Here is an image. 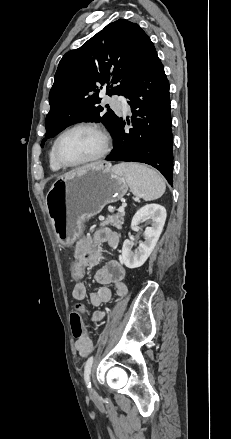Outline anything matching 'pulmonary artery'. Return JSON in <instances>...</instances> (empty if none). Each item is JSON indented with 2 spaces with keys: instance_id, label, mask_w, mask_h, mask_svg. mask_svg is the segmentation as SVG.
<instances>
[{
  "instance_id": "pulmonary-artery-1",
  "label": "pulmonary artery",
  "mask_w": 231,
  "mask_h": 439,
  "mask_svg": "<svg viewBox=\"0 0 231 439\" xmlns=\"http://www.w3.org/2000/svg\"><path fill=\"white\" fill-rule=\"evenodd\" d=\"M113 106L117 112L128 111L129 105L127 99L123 96H116L113 100Z\"/></svg>"
}]
</instances>
